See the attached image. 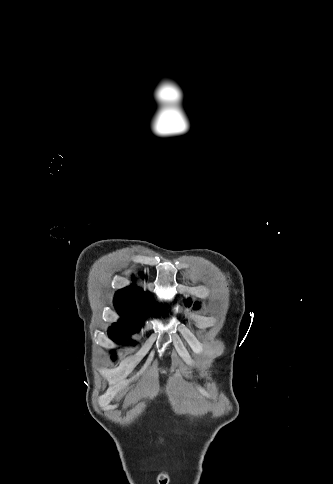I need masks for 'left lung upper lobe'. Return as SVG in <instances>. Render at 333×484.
Returning <instances> with one entry per match:
<instances>
[{
	"mask_svg": "<svg viewBox=\"0 0 333 484\" xmlns=\"http://www.w3.org/2000/svg\"><path fill=\"white\" fill-rule=\"evenodd\" d=\"M187 304L190 305V302L188 301Z\"/></svg>",
	"mask_w": 333,
	"mask_h": 484,
	"instance_id": "1",
	"label": "left lung upper lobe"
}]
</instances>
